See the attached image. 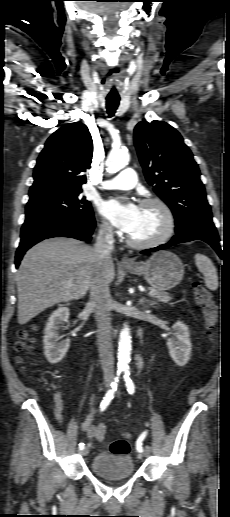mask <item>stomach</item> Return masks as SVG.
Wrapping results in <instances>:
<instances>
[{
    "label": "stomach",
    "instance_id": "obj_1",
    "mask_svg": "<svg viewBox=\"0 0 230 517\" xmlns=\"http://www.w3.org/2000/svg\"><path fill=\"white\" fill-rule=\"evenodd\" d=\"M125 269L132 274L142 275L152 288L161 291L174 288L184 276L182 261L169 251L156 252L146 262Z\"/></svg>",
    "mask_w": 230,
    "mask_h": 517
}]
</instances>
